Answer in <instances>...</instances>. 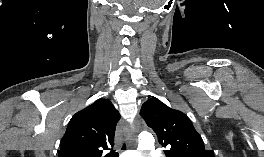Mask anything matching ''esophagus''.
Returning <instances> with one entry per match:
<instances>
[{"instance_id": "1", "label": "esophagus", "mask_w": 264, "mask_h": 157, "mask_svg": "<svg viewBox=\"0 0 264 157\" xmlns=\"http://www.w3.org/2000/svg\"><path fill=\"white\" fill-rule=\"evenodd\" d=\"M126 137L129 142V145L131 148H134L136 146L137 136H136V129L135 126H126Z\"/></svg>"}]
</instances>
